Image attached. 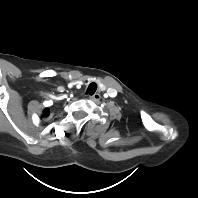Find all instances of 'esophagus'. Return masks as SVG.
<instances>
[{
    "mask_svg": "<svg viewBox=\"0 0 198 198\" xmlns=\"http://www.w3.org/2000/svg\"><path fill=\"white\" fill-rule=\"evenodd\" d=\"M101 96L98 93H95L94 95L90 96V99L94 102H98L100 100Z\"/></svg>",
    "mask_w": 198,
    "mask_h": 198,
    "instance_id": "esophagus-1",
    "label": "esophagus"
}]
</instances>
